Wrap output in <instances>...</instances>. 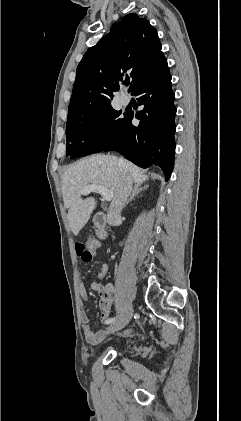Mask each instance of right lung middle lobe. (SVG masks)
<instances>
[{
    "label": "right lung middle lobe",
    "instance_id": "right-lung-middle-lobe-1",
    "mask_svg": "<svg viewBox=\"0 0 241 421\" xmlns=\"http://www.w3.org/2000/svg\"><path fill=\"white\" fill-rule=\"evenodd\" d=\"M108 107L92 115L66 124V156L71 159L103 151L125 129L128 114Z\"/></svg>",
    "mask_w": 241,
    "mask_h": 421
}]
</instances>
